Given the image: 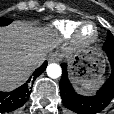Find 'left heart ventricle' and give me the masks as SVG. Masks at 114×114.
Segmentation results:
<instances>
[{
	"label": "left heart ventricle",
	"instance_id": "b2bd125f",
	"mask_svg": "<svg viewBox=\"0 0 114 114\" xmlns=\"http://www.w3.org/2000/svg\"><path fill=\"white\" fill-rule=\"evenodd\" d=\"M92 32H93V29H92V27H90V26L85 27V29L83 30V33H84V35H86V36L91 35Z\"/></svg>",
	"mask_w": 114,
	"mask_h": 114
}]
</instances>
